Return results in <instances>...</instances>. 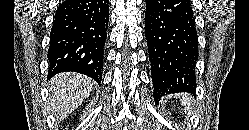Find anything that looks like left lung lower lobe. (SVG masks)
Masks as SVG:
<instances>
[{
  "label": "left lung lower lobe",
  "mask_w": 249,
  "mask_h": 130,
  "mask_svg": "<svg viewBox=\"0 0 249 130\" xmlns=\"http://www.w3.org/2000/svg\"><path fill=\"white\" fill-rule=\"evenodd\" d=\"M145 32L154 98L196 92L198 37L189 0H147Z\"/></svg>",
  "instance_id": "1"
}]
</instances>
